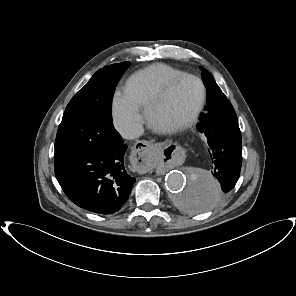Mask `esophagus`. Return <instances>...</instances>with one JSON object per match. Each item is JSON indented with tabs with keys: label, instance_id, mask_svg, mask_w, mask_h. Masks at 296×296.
I'll return each mask as SVG.
<instances>
[{
	"label": "esophagus",
	"instance_id": "esophagus-1",
	"mask_svg": "<svg viewBox=\"0 0 296 296\" xmlns=\"http://www.w3.org/2000/svg\"><path fill=\"white\" fill-rule=\"evenodd\" d=\"M132 168L140 175L147 174L151 166L157 161L158 153L150 141H140L131 150Z\"/></svg>",
	"mask_w": 296,
	"mask_h": 296
}]
</instances>
